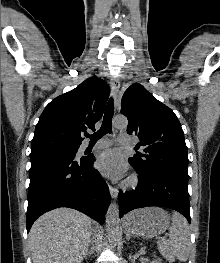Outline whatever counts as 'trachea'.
Here are the masks:
<instances>
[{"instance_id":"obj_1","label":"trachea","mask_w":220,"mask_h":263,"mask_svg":"<svg viewBox=\"0 0 220 263\" xmlns=\"http://www.w3.org/2000/svg\"><path fill=\"white\" fill-rule=\"evenodd\" d=\"M114 114V103L113 99L110 98L106 106L105 114L103 117V122L100 129L93 135H86L90 138V142H96L98 139L103 137L107 133L112 132V118Z\"/></svg>"}]
</instances>
